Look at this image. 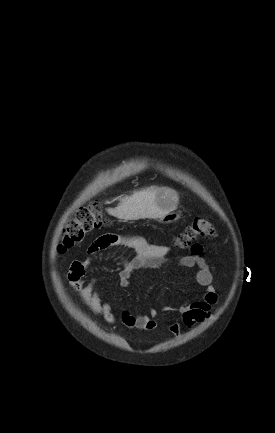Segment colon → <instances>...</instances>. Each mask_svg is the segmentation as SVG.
Wrapping results in <instances>:
<instances>
[{"mask_svg":"<svg viewBox=\"0 0 275 433\" xmlns=\"http://www.w3.org/2000/svg\"><path fill=\"white\" fill-rule=\"evenodd\" d=\"M107 222L98 204L80 208L62 230L59 251L64 252L79 244L87 233L103 227ZM216 237V230L211 222L197 217L176 236L174 242L178 248H192L198 240H214Z\"/></svg>","mask_w":275,"mask_h":433,"instance_id":"1","label":"colon"}]
</instances>
